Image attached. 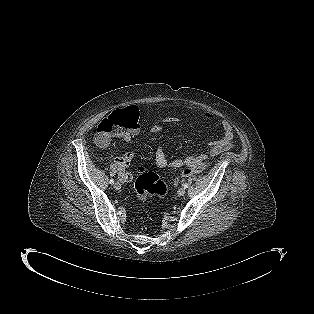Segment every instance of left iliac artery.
Wrapping results in <instances>:
<instances>
[{
  "instance_id": "left-iliac-artery-1",
  "label": "left iliac artery",
  "mask_w": 314,
  "mask_h": 314,
  "mask_svg": "<svg viewBox=\"0 0 314 314\" xmlns=\"http://www.w3.org/2000/svg\"><path fill=\"white\" fill-rule=\"evenodd\" d=\"M183 186H184V188H188V187H189V184H188V183H185Z\"/></svg>"
}]
</instances>
